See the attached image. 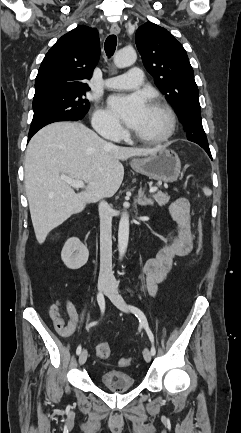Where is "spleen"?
I'll use <instances>...</instances> for the list:
<instances>
[{
	"label": "spleen",
	"mask_w": 241,
	"mask_h": 433,
	"mask_svg": "<svg viewBox=\"0 0 241 433\" xmlns=\"http://www.w3.org/2000/svg\"><path fill=\"white\" fill-rule=\"evenodd\" d=\"M203 192L206 196H210L212 194V191L208 187H204Z\"/></svg>",
	"instance_id": "3e777b00"
}]
</instances>
